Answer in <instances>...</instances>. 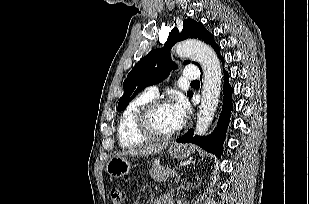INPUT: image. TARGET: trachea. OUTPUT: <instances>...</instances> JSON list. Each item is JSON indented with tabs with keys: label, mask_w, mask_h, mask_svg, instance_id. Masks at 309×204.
I'll use <instances>...</instances> for the list:
<instances>
[{
	"label": "trachea",
	"mask_w": 309,
	"mask_h": 204,
	"mask_svg": "<svg viewBox=\"0 0 309 204\" xmlns=\"http://www.w3.org/2000/svg\"><path fill=\"white\" fill-rule=\"evenodd\" d=\"M200 82L198 80L192 81L191 84H199Z\"/></svg>",
	"instance_id": "obj_1"
}]
</instances>
